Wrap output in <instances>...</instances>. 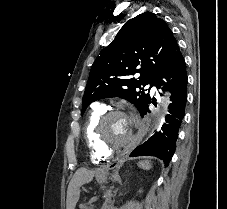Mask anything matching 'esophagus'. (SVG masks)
I'll list each match as a JSON object with an SVG mask.
<instances>
[{
    "instance_id": "esophagus-1",
    "label": "esophagus",
    "mask_w": 227,
    "mask_h": 209,
    "mask_svg": "<svg viewBox=\"0 0 227 209\" xmlns=\"http://www.w3.org/2000/svg\"><path fill=\"white\" fill-rule=\"evenodd\" d=\"M151 112H146L145 116H143V120H139L137 125L139 126L138 128L140 133L142 134V137H139L134 141L133 144L130 145L131 149H136L137 146H141L142 142H146V138L149 137V134L147 133L148 128H149V121H151ZM131 149H126L125 151H118L116 155L115 162H111L107 166H104L103 169L101 170L100 176H103V174H107L108 171H111L112 169H117L118 167L121 166V164H124V161L127 160V157H129V154L132 153Z\"/></svg>"
}]
</instances>
